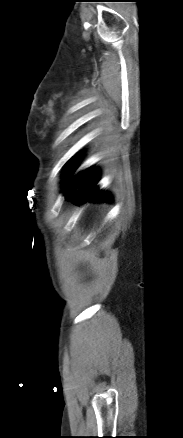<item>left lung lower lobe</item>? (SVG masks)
<instances>
[{
    "mask_svg": "<svg viewBox=\"0 0 183 438\" xmlns=\"http://www.w3.org/2000/svg\"><path fill=\"white\" fill-rule=\"evenodd\" d=\"M78 160L68 162L65 165V179L69 180L73 169L77 166ZM99 179V173L96 169L88 168L72 178L65 189V199L73 204H79L82 201L104 202L112 201L107 193L99 191L95 185Z\"/></svg>",
    "mask_w": 183,
    "mask_h": 438,
    "instance_id": "1",
    "label": "left lung lower lobe"
}]
</instances>
